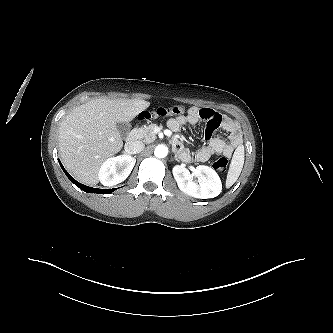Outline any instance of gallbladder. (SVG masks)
Masks as SVG:
<instances>
[{
	"mask_svg": "<svg viewBox=\"0 0 333 333\" xmlns=\"http://www.w3.org/2000/svg\"><path fill=\"white\" fill-rule=\"evenodd\" d=\"M116 128L122 136H126L130 131V125L126 122H117Z\"/></svg>",
	"mask_w": 333,
	"mask_h": 333,
	"instance_id": "bac80fb5",
	"label": "gallbladder"
}]
</instances>
